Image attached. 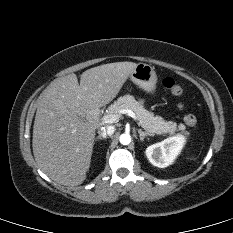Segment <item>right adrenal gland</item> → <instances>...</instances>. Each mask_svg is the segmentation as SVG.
I'll return each mask as SVG.
<instances>
[{
	"label": "right adrenal gland",
	"instance_id": "1",
	"mask_svg": "<svg viewBox=\"0 0 233 233\" xmlns=\"http://www.w3.org/2000/svg\"><path fill=\"white\" fill-rule=\"evenodd\" d=\"M98 140H105V138L101 137V136H98V137L95 138V141H98Z\"/></svg>",
	"mask_w": 233,
	"mask_h": 233
}]
</instances>
